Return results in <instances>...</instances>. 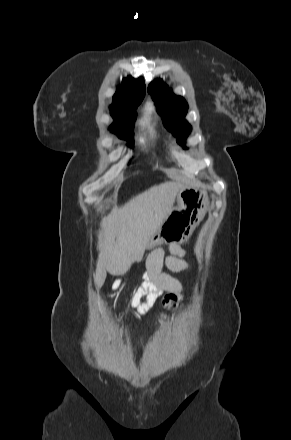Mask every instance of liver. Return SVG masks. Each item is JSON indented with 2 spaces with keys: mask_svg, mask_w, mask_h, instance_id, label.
Instances as JSON below:
<instances>
[{
  "mask_svg": "<svg viewBox=\"0 0 291 440\" xmlns=\"http://www.w3.org/2000/svg\"><path fill=\"white\" fill-rule=\"evenodd\" d=\"M182 188L181 184L173 182L155 185L124 206H114L102 219L98 235L97 286L104 283L106 272L123 274L141 259L150 238L172 209L176 194Z\"/></svg>",
  "mask_w": 291,
  "mask_h": 440,
  "instance_id": "liver-1",
  "label": "liver"
}]
</instances>
